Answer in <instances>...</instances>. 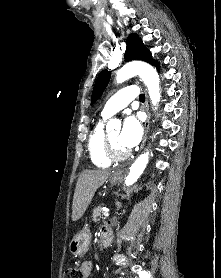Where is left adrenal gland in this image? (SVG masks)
Instances as JSON below:
<instances>
[{
	"instance_id": "left-adrenal-gland-1",
	"label": "left adrenal gland",
	"mask_w": 221,
	"mask_h": 278,
	"mask_svg": "<svg viewBox=\"0 0 221 278\" xmlns=\"http://www.w3.org/2000/svg\"><path fill=\"white\" fill-rule=\"evenodd\" d=\"M116 205H117V210H119L121 208V203L117 201Z\"/></svg>"
}]
</instances>
